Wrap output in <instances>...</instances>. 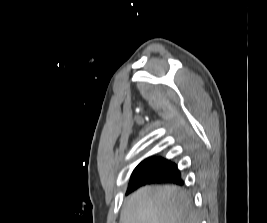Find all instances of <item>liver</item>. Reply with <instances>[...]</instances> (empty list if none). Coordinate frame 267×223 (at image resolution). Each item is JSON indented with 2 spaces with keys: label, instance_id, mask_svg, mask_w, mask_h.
Segmentation results:
<instances>
[{
  "label": "liver",
  "instance_id": "6515ba94",
  "mask_svg": "<svg viewBox=\"0 0 267 223\" xmlns=\"http://www.w3.org/2000/svg\"><path fill=\"white\" fill-rule=\"evenodd\" d=\"M120 223H197L191 200L177 186L140 188L131 194Z\"/></svg>",
  "mask_w": 267,
  "mask_h": 223
}]
</instances>
